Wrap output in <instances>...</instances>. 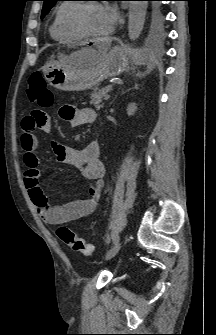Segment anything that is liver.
<instances>
[{"label":"liver","instance_id":"obj_1","mask_svg":"<svg viewBox=\"0 0 216 335\" xmlns=\"http://www.w3.org/2000/svg\"><path fill=\"white\" fill-rule=\"evenodd\" d=\"M109 46H110V40H107L105 45L98 46L97 52L99 54H103L107 52ZM96 61H97V55L95 54L86 56L83 53H79V54L73 55L72 65L78 68H83V67H89V66L94 65Z\"/></svg>","mask_w":216,"mask_h":335}]
</instances>
